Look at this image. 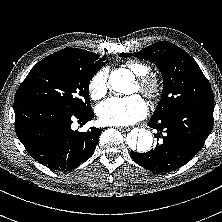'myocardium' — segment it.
I'll return each mask as SVG.
<instances>
[{"instance_id": "obj_1", "label": "myocardium", "mask_w": 222, "mask_h": 222, "mask_svg": "<svg viewBox=\"0 0 222 222\" xmlns=\"http://www.w3.org/2000/svg\"><path fill=\"white\" fill-rule=\"evenodd\" d=\"M138 87L146 97L154 101L162 94L163 82L159 77L147 74L139 78Z\"/></svg>"}]
</instances>
